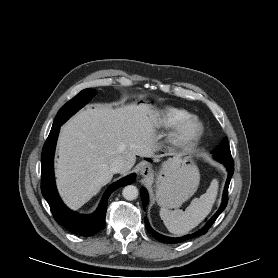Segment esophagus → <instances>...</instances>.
I'll return each mask as SVG.
<instances>
[{
  "label": "esophagus",
  "mask_w": 278,
  "mask_h": 278,
  "mask_svg": "<svg viewBox=\"0 0 278 278\" xmlns=\"http://www.w3.org/2000/svg\"><path fill=\"white\" fill-rule=\"evenodd\" d=\"M140 175L143 177H151L153 175V169L148 165H143L140 167Z\"/></svg>",
  "instance_id": "34e87169"
}]
</instances>
